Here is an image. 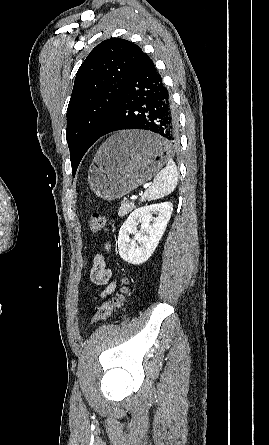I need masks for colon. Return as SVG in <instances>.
<instances>
[{
    "label": "colon",
    "instance_id": "5ec220e1",
    "mask_svg": "<svg viewBox=\"0 0 269 445\" xmlns=\"http://www.w3.org/2000/svg\"><path fill=\"white\" fill-rule=\"evenodd\" d=\"M107 220L105 216L100 213H92L90 215L89 225L93 232H99L106 227ZM130 279L127 277L122 278V287L120 292L109 302L102 303L98 306L96 313L90 320V324H96L97 322L106 319L110 316L112 311L122 305L125 299L130 295Z\"/></svg>",
    "mask_w": 269,
    "mask_h": 445
}]
</instances>
